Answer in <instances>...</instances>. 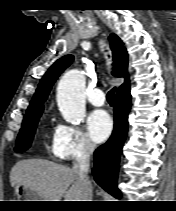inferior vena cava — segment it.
Listing matches in <instances>:
<instances>
[{
	"label": "inferior vena cava",
	"mask_w": 176,
	"mask_h": 211,
	"mask_svg": "<svg viewBox=\"0 0 176 211\" xmlns=\"http://www.w3.org/2000/svg\"><path fill=\"white\" fill-rule=\"evenodd\" d=\"M94 150V144L86 141L73 162V171L77 175L78 181L88 193L86 196L87 199H83L84 201H91L92 186L89 180L88 170L90 166V155L93 154Z\"/></svg>",
	"instance_id": "obj_1"
}]
</instances>
